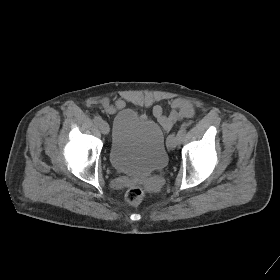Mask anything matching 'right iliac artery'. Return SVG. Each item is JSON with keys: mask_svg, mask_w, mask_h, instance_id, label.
Instances as JSON below:
<instances>
[{"mask_svg": "<svg viewBox=\"0 0 280 280\" xmlns=\"http://www.w3.org/2000/svg\"><path fill=\"white\" fill-rule=\"evenodd\" d=\"M93 121L96 125H100L103 122V120L100 116H95Z\"/></svg>", "mask_w": 280, "mask_h": 280, "instance_id": "1", "label": "right iliac artery"}]
</instances>
